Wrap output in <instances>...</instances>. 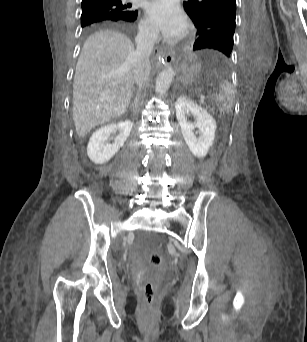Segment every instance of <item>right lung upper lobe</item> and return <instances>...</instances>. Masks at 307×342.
Listing matches in <instances>:
<instances>
[{
	"mask_svg": "<svg viewBox=\"0 0 307 342\" xmlns=\"http://www.w3.org/2000/svg\"><path fill=\"white\" fill-rule=\"evenodd\" d=\"M82 10L87 9H110L117 12L113 18L97 21L83 26V32H88L94 27L110 24L121 27H130L136 20L138 11L130 9L131 4H126L122 0H83L81 3Z\"/></svg>",
	"mask_w": 307,
	"mask_h": 342,
	"instance_id": "right-lung-upper-lobe-1",
	"label": "right lung upper lobe"
}]
</instances>
